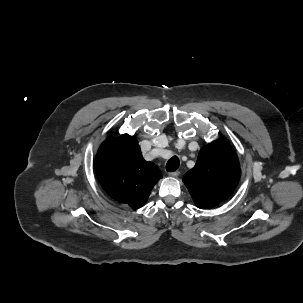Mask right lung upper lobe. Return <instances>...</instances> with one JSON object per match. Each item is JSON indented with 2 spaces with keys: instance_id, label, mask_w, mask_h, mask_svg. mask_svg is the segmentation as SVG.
<instances>
[{
  "instance_id": "1",
  "label": "right lung upper lobe",
  "mask_w": 303,
  "mask_h": 303,
  "mask_svg": "<svg viewBox=\"0 0 303 303\" xmlns=\"http://www.w3.org/2000/svg\"><path fill=\"white\" fill-rule=\"evenodd\" d=\"M95 170L102 188L119 203L142 207L157 181L159 168L143 159L135 136L108 137L100 146Z\"/></svg>"
}]
</instances>
